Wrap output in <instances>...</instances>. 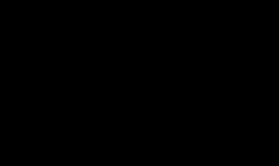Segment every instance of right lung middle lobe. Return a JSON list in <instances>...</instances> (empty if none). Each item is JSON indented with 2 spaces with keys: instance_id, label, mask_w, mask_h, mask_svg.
<instances>
[{
  "instance_id": "right-lung-middle-lobe-1",
  "label": "right lung middle lobe",
  "mask_w": 279,
  "mask_h": 166,
  "mask_svg": "<svg viewBox=\"0 0 279 166\" xmlns=\"http://www.w3.org/2000/svg\"><path fill=\"white\" fill-rule=\"evenodd\" d=\"M113 21H115L116 23H122V25L124 27H126V29L132 30L133 29V24L131 22V20H129V18L127 17H123V18H114ZM69 26L65 27L62 31L66 30Z\"/></svg>"
}]
</instances>
